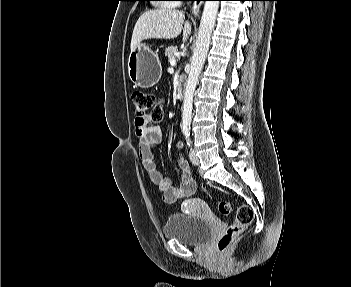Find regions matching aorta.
Listing matches in <instances>:
<instances>
[{"instance_id": "762f6f07", "label": "aorta", "mask_w": 351, "mask_h": 287, "mask_svg": "<svg viewBox=\"0 0 351 287\" xmlns=\"http://www.w3.org/2000/svg\"><path fill=\"white\" fill-rule=\"evenodd\" d=\"M218 9L219 1L205 2L184 94L182 121L183 128L185 130H188L191 123L193 94L198 83L200 72L207 57L211 34L214 29Z\"/></svg>"}]
</instances>
